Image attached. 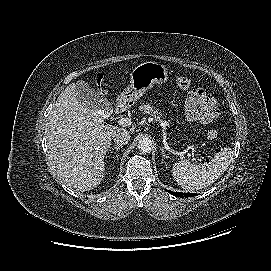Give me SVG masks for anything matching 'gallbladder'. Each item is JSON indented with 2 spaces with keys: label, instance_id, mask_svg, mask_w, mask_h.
I'll return each instance as SVG.
<instances>
[{
  "label": "gallbladder",
  "instance_id": "1",
  "mask_svg": "<svg viewBox=\"0 0 271 271\" xmlns=\"http://www.w3.org/2000/svg\"><path fill=\"white\" fill-rule=\"evenodd\" d=\"M78 102L90 110L96 111L104 117L110 116L113 109L111 103L98 91L90 88L89 84L79 80L75 84Z\"/></svg>",
  "mask_w": 271,
  "mask_h": 271
}]
</instances>
